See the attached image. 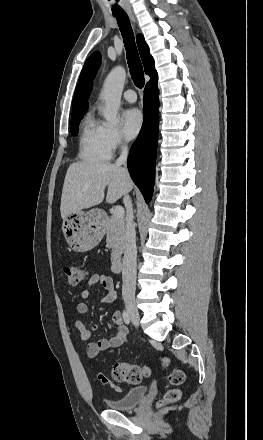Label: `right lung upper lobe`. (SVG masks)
Returning a JSON list of instances; mask_svg holds the SVG:
<instances>
[{
    "label": "right lung upper lobe",
    "instance_id": "cb5924a9",
    "mask_svg": "<svg viewBox=\"0 0 263 440\" xmlns=\"http://www.w3.org/2000/svg\"><path fill=\"white\" fill-rule=\"evenodd\" d=\"M137 45L145 73L150 76V80L157 78V72L154 68V59L150 55L149 47L141 34L137 35ZM100 59V53L94 52L84 64L73 98L72 117L84 114L88 108V98L92 89V81L99 68Z\"/></svg>",
    "mask_w": 263,
    "mask_h": 440
}]
</instances>
